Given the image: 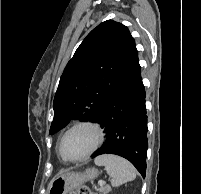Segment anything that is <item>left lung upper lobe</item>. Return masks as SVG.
Returning a JSON list of instances; mask_svg holds the SVG:
<instances>
[{"instance_id":"1","label":"left lung upper lobe","mask_w":201,"mask_h":194,"mask_svg":"<svg viewBox=\"0 0 201 194\" xmlns=\"http://www.w3.org/2000/svg\"><path fill=\"white\" fill-rule=\"evenodd\" d=\"M137 57L134 38L126 26L107 20L94 28L60 78L49 134L58 132L72 119L95 121Z\"/></svg>"}]
</instances>
